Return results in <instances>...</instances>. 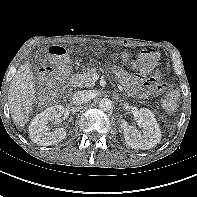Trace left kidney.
<instances>
[{
  "instance_id": "obj_1",
  "label": "left kidney",
  "mask_w": 197,
  "mask_h": 197,
  "mask_svg": "<svg viewBox=\"0 0 197 197\" xmlns=\"http://www.w3.org/2000/svg\"><path fill=\"white\" fill-rule=\"evenodd\" d=\"M135 120L143 128V133L139 132L135 127L128 125L125 120L121 121V128L128 146L133 149L146 150L160 142L161 131L154 114L149 109L141 108L137 112Z\"/></svg>"
}]
</instances>
